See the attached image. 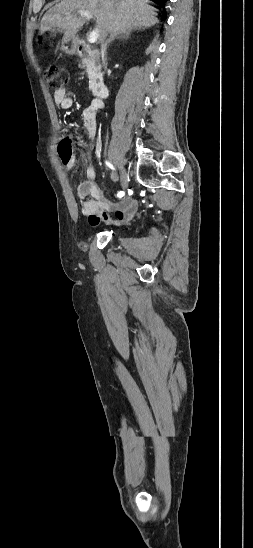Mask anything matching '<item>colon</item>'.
Here are the masks:
<instances>
[{"mask_svg": "<svg viewBox=\"0 0 253 548\" xmlns=\"http://www.w3.org/2000/svg\"><path fill=\"white\" fill-rule=\"evenodd\" d=\"M44 76L47 82V85L50 89L58 91L63 89V87L68 82V73L67 71L56 64H49L46 66L44 71ZM59 153L61 157L65 160L71 158L72 155V145L69 139H63L59 145Z\"/></svg>", "mask_w": 253, "mask_h": 548, "instance_id": "colon-1", "label": "colon"}]
</instances>
